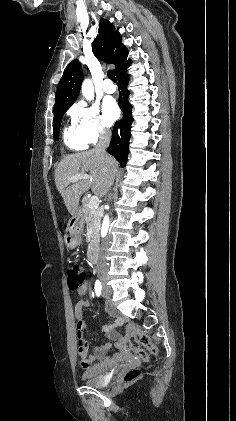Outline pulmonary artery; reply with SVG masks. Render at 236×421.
I'll list each match as a JSON object with an SVG mask.
<instances>
[{"label":"pulmonary artery","instance_id":"e3ab8cb5","mask_svg":"<svg viewBox=\"0 0 236 421\" xmlns=\"http://www.w3.org/2000/svg\"><path fill=\"white\" fill-rule=\"evenodd\" d=\"M104 92L113 94L116 92V85L112 82H104L102 85Z\"/></svg>","mask_w":236,"mask_h":421}]
</instances>
